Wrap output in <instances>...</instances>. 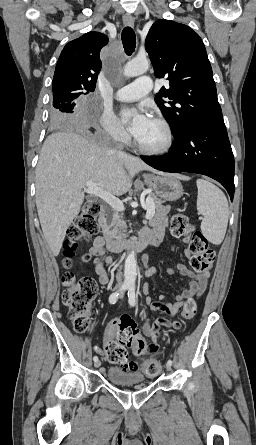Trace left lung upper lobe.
<instances>
[{"label": "left lung upper lobe", "instance_id": "obj_1", "mask_svg": "<svg viewBox=\"0 0 256 445\" xmlns=\"http://www.w3.org/2000/svg\"><path fill=\"white\" fill-rule=\"evenodd\" d=\"M145 48L155 76L169 81L155 102L174 136L191 121L223 122L211 65L196 32L174 21L158 20L147 34Z\"/></svg>", "mask_w": 256, "mask_h": 445}]
</instances>
